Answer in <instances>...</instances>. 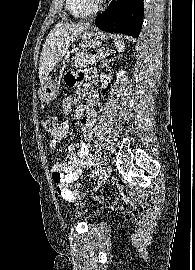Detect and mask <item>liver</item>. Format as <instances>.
I'll return each instance as SVG.
<instances>
[{"instance_id":"6515ba94","label":"liver","mask_w":195,"mask_h":270,"mask_svg":"<svg viewBox=\"0 0 195 270\" xmlns=\"http://www.w3.org/2000/svg\"><path fill=\"white\" fill-rule=\"evenodd\" d=\"M88 27L89 23L59 22L50 31L40 56L39 79L41 86L47 80L49 73L62 60L70 45Z\"/></svg>"}]
</instances>
